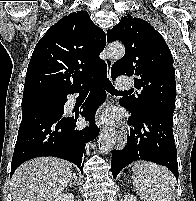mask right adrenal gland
Wrapping results in <instances>:
<instances>
[{
  "mask_svg": "<svg viewBox=\"0 0 196 201\" xmlns=\"http://www.w3.org/2000/svg\"><path fill=\"white\" fill-rule=\"evenodd\" d=\"M73 184H78L77 176L73 174V180L69 182V186L71 187Z\"/></svg>",
  "mask_w": 196,
  "mask_h": 201,
  "instance_id": "2a0ac1e0",
  "label": "right adrenal gland"
}]
</instances>
